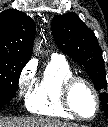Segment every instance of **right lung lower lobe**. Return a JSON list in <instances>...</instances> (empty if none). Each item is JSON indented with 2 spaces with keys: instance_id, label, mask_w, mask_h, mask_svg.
Listing matches in <instances>:
<instances>
[{
  "instance_id": "obj_1",
  "label": "right lung lower lobe",
  "mask_w": 108,
  "mask_h": 127,
  "mask_svg": "<svg viewBox=\"0 0 108 127\" xmlns=\"http://www.w3.org/2000/svg\"><path fill=\"white\" fill-rule=\"evenodd\" d=\"M10 100H0V107L8 103Z\"/></svg>"
}]
</instances>
